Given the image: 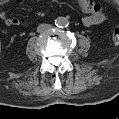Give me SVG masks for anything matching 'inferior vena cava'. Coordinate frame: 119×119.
<instances>
[{
	"mask_svg": "<svg viewBox=\"0 0 119 119\" xmlns=\"http://www.w3.org/2000/svg\"><path fill=\"white\" fill-rule=\"evenodd\" d=\"M51 29V25L50 24H40L38 27H37V31L39 33H43V32H47Z\"/></svg>",
	"mask_w": 119,
	"mask_h": 119,
	"instance_id": "602c4592",
	"label": "inferior vena cava"
}]
</instances>
